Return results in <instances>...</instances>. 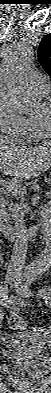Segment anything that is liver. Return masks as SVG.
<instances>
[{
    "label": "liver",
    "instance_id": "obj_1",
    "mask_svg": "<svg viewBox=\"0 0 51 393\" xmlns=\"http://www.w3.org/2000/svg\"><path fill=\"white\" fill-rule=\"evenodd\" d=\"M51 167V146H22L0 136V173L14 179L37 177Z\"/></svg>",
    "mask_w": 51,
    "mask_h": 393
}]
</instances>
